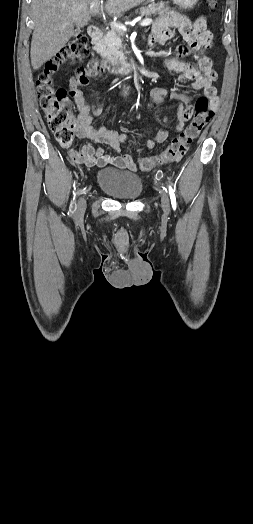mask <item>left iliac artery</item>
Returning <instances> with one entry per match:
<instances>
[{"label": "left iliac artery", "instance_id": "1", "mask_svg": "<svg viewBox=\"0 0 253 524\" xmlns=\"http://www.w3.org/2000/svg\"><path fill=\"white\" fill-rule=\"evenodd\" d=\"M169 195H170L172 207L175 210L176 209V197L174 194V190L171 186H169Z\"/></svg>", "mask_w": 253, "mask_h": 524}]
</instances>
